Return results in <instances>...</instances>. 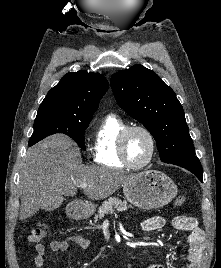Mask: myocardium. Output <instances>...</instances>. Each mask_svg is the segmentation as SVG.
Here are the masks:
<instances>
[{"mask_svg": "<svg viewBox=\"0 0 221 268\" xmlns=\"http://www.w3.org/2000/svg\"><path fill=\"white\" fill-rule=\"evenodd\" d=\"M133 131H141L143 132L149 139L150 141V145H151V149H150V153L148 158L146 159V161H144L141 164H134L129 160L128 154H127V149H126V142H127V138L129 136V134ZM156 153V140L154 135L152 134V132L147 129L144 126L141 125H130V126H126L121 133L119 134L118 137V154L119 157L121 159V161L123 162V164L131 169H142L144 167H146L147 165H149L152 160L154 159Z\"/></svg>", "mask_w": 221, "mask_h": 268, "instance_id": "f54148a6", "label": "myocardium"}]
</instances>
